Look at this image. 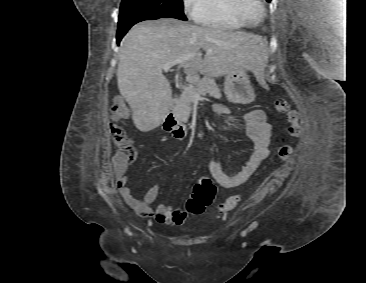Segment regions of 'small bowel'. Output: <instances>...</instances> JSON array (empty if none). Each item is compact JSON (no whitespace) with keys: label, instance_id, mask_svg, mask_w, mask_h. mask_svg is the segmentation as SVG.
Segmentation results:
<instances>
[{"label":"small bowel","instance_id":"1","mask_svg":"<svg viewBox=\"0 0 366 283\" xmlns=\"http://www.w3.org/2000/svg\"><path fill=\"white\" fill-rule=\"evenodd\" d=\"M213 108L218 116L225 115L228 112L226 106L221 103H215ZM243 126L245 133L253 142V150L242 168L229 175L225 173L219 162L211 161L208 164L211 176L221 187L234 188L242 186L269 155L271 126L267 122L265 111L256 109L246 113L243 117ZM113 170L120 195L140 216L153 217L158 223L168 225L183 223L186 218L184 210L172 209L163 204H159L154 210L150 207V204L156 200L159 193L157 183L152 184L143 199H138L127 186V167H121L113 160Z\"/></svg>","mask_w":366,"mask_h":283}]
</instances>
